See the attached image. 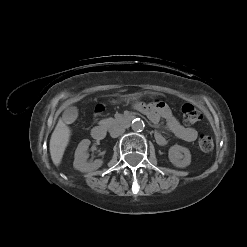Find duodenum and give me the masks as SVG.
I'll use <instances>...</instances> for the list:
<instances>
[{
  "instance_id": "1",
  "label": "duodenum",
  "mask_w": 247,
  "mask_h": 247,
  "mask_svg": "<svg viewBox=\"0 0 247 247\" xmlns=\"http://www.w3.org/2000/svg\"><path fill=\"white\" fill-rule=\"evenodd\" d=\"M134 116L127 115L118 120V123L123 126H128L132 123ZM107 132V128L105 126L99 125L93 127L91 130V135L95 140H102L105 138Z\"/></svg>"
}]
</instances>
